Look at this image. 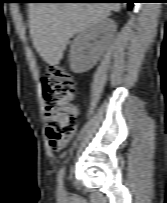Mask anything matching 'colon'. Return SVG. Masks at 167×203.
Listing matches in <instances>:
<instances>
[{"label": "colon", "mask_w": 167, "mask_h": 203, "mask_svg": "<svg viewBox=\"0 0 167 203\" xmlns=\"http://www.w3.org/2000/svg\"><path fill=\"white\" fill-rule=\"evenodd\" d=\"M45 99L47 136L50 146H56L63 138L71 136L77 127V111L70 105L76 87L72 75L59 64L49 65L41 79Z\"/></svg>", "instance_id": "obj_1"}]
</instances>
